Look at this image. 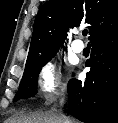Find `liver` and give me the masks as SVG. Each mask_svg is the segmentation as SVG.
<instances>
[{
	"instance_id": "6515ba94",
	"label": "liver",
	"mask_w": 118,
	"mask_h": 123,
	"mask_svg": "<svg viewBox=\"0 0 118 123\" xmlns=\"http://www.w3.org/2000/svg\"><path fill=\"white\" fill-rule=\"evenodd\" d=\"M70 123H75L70 120ZM5 123H63L61 115L55 111L37 112L29 115H14L7 119Z\"/></svg>"
}]
</instances>
